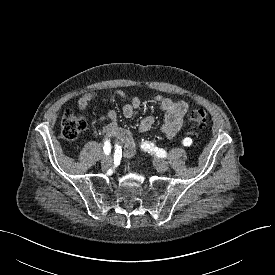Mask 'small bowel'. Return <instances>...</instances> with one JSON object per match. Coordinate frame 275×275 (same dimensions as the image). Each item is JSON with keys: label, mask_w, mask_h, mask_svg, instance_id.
<instances>
[{"label": "small bowel", "mask_w": 275, "mask_h": 275, "mask_svg": "<svg viewBox=\"0 0 275 275\" xmlns=\"http://www.w3.org/2000/svg\"><path fill=\"white\" fill-rule=\"evenodd\" d=\"M116 94L121 98L127 95L123 91H117ZM95 97L94 91H88L80 95L77 99L78 106L81 110L85 109L88 103ZM155 101L159 104L164 113V120L161 124V131L168 137H174L184 124V117L188 111V104L185 101H173L169 98L156 96ZM141 101L137 97H132L123 107V115L126 118L132 117L134 112L140 107ZM155 124L151 116L144 117L140 124L139 130L142 133L149 131ZM105 137H115L125 144L124 156L131 157L135 153L136 145L129 131L118 125L117 114L113 110L107 112V124L103 129Z\"/></svg>", "instance_id": "obj_1"}]
</instances>
